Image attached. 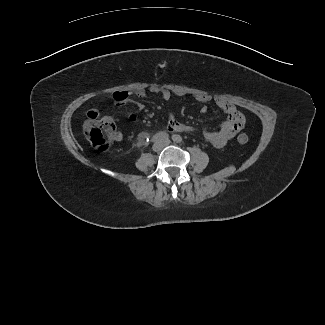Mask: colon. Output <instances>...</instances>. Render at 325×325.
I'll list each match as a JSON object with an SVG mask.
<instances>
[{
	"instance_id": "1",
	"label": "colon",
	"mask_w": 325,
	"mask_h": 325,
	"mask_svg": "<svg viewBox=\"0 0 325 325\" xmlns=\"http://www.w3.org/2000/svg\"><path fill=\"white\" fill-rule=\"evenodd\" d=\"M115 123L110 118H100L98 115H88L84 124V135L90 144L99 151H106L111 146L115 135ZM237 140L241 144L249 141V137L245 133L237 136Z\"/></svg>"
}]
</instances>
